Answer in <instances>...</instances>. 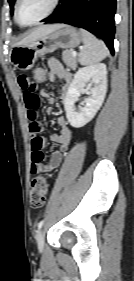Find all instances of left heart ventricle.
Returning a JSON list of instances; mask_svg holds the SVG:
<instances>
[{
    "label": "left heart ventricle",
    "mask_w": 134,
    "mask_h": 281,
    "mask_svg": "<svg viewBox=\"0 0 134 281\" xmlns=\"http://www.w3.org/2000/svg\"><path fill=\"white\" fill-rule=\"evenodd\" d=\"M53 0H21L18 16L22 23L29 24L41 18L51 7Z\"/></svg>",
    "instance_id": "left-heart-ventricle-1"
}]
</instances>
